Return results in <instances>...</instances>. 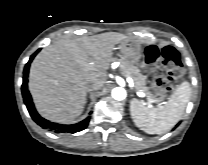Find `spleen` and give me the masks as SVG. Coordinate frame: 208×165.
Masks as SVG:
<instances>
[{
    "label": "spleen",
    "instance_id": "obj_1",
    "mask_svg": "<svg viewBox=\"0 0 208 165\" xmlns=\"http://www.w3.org/2000/svg\"><path fill=\"white\" fill-rule=\"evenodd\" d=\"M190 95V84L184 81L176 88L165 106L151 108L138 99H132L131 118L138 128L148 134H164L181 119Z\"/></svg>",
    "mask_w": 208,
    "mask_h": 165
}]
</instances>
